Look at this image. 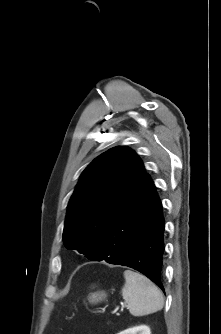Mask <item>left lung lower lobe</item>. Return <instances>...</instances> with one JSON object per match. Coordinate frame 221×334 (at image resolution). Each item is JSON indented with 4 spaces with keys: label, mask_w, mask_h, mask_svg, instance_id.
Instances as JSON below:
<instances>
[{
    "label": "left lung lower lobe",
    "mask_w": 221,
    "mask_h": 334,
    "mask_svg": "<svg viewBox=\"0 0 221 334\" xmlns=\"http://www.w3.org/2000/svg\"><path fill=\"white\" fill-rule=\"evenodd\" d=\"M164 224L161 201L146 174L108 226L93 261L134 268L164 291Z\"/></svg>",
    "instance_id": "obj_1"
}]
</instances>
